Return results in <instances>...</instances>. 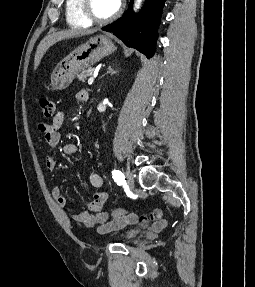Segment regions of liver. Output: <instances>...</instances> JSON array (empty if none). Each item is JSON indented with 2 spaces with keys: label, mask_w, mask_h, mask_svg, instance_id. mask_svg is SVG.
Masks as SVG:
<instances>
[{
  "label": "liver",
  "mask_w": 255,
  "mask_h": 287,
  "mask_svg": "<svg viewBox=\"0 0 255 287\" xmlns=\"http://www.w3.org/2000/svg\"><path fill=\"white\" fill-rule=\"evenodd\" d=\"M96 30H65V32H56V34H48L43 40H41L39 46H37L35 58H34V70H37L44 54L49 50L50 46L61 42V40H68V38H78V36H89L94 34Z\"/></svg>",
  "instance_id": "1"
}]
</instances>
